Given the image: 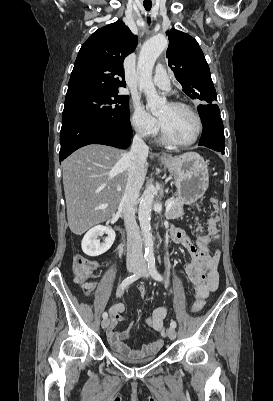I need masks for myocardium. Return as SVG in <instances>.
Returning a JSON list of instances; mask_svg holds the SVG:
<instances>
[{
	"label": "myocardium",
	"instance_id": "obj_1",
	"mask_svg": "<svg viewBox=\"0 0 273 401\" xmlns=\"http://www.w3.org/2000/svg\"><path fill=\"white\" fill-rule=\"evenodd\" d=\"M169 105L178 107V108H182V109H185L186 111H188L196 120L197 133L194 136V138H192L191 140H188V141L177 140L165 129V127L163 126V124L161 123V121L159 119L158 122H159L162 139L165 142L175 145V146L186 147V146L195 144L200 139V137L203 133V129H204L203 120H202L200 114L192 106H190L186 103H183V102L174 101V102L169 103Z\"/></svg>",
	"mask_w": 273,
	"mask_h": 401
}]
</instances>
